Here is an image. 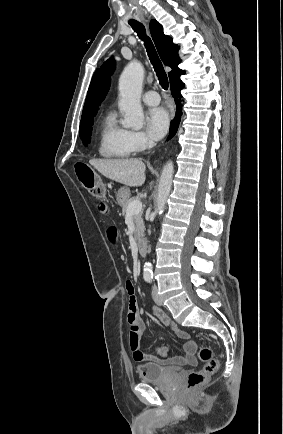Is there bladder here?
Listing matches in <instances>:
<instances>
[{
  "mask_svg": "<svg viewBox=\"0 0 283 434\" xmlns=\"http://www.w3.org/2000/svg\"><path fill=\"white\" fill-rule=\"evenodd\" d=\"M178 374V369L155 364H145L139 370V377L144 382H162Z\"/></svg>",
  "mask_w": 283,
  "mask_h": 434,
  "instance_id": "1",
  "label": "bladder"
}]
</instances>
